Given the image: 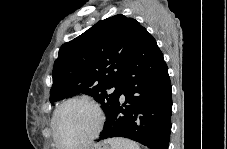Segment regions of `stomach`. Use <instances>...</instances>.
<instances>
[{"instance_id":"0dacf381","label":"stomach","mask_w":227,"mask_h":149,"mask_svg":"<svg viewBox=\"0 0 227 149\" xmlns=\"http://www.w3.org/2000/svg\"><path fill=\"white\" fill-rule=\"evenodd\" d=\"M94 149H109L108 145L106 144H102V145H98L97 147H95Z\"/></svg>"}]
</instances>
